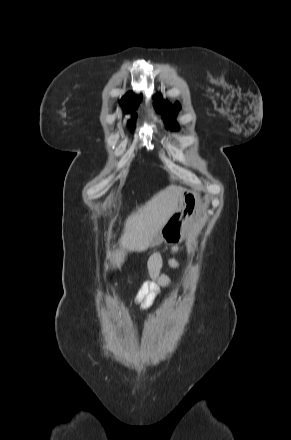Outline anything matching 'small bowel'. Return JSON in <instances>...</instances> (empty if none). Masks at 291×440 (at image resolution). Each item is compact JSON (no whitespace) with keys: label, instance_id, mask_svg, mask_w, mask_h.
Returning a JSON list of instances; mask_svg holds the SVG:
<instances>
[{"label":"small bowel","instance_id":"obj_1","mask_svg":"<svg viewBox=\"0 0 291 440\" xmlns=\"http://www.w3.org/2000/svg\"><path fill=\"white\" fill-rule=\"evenodd\" d=\"M177 251V250H176ZM162 265V256L156 252L152 254L148 261L150 276L158 281V284L146 282L138 290L134 297V303L138 304L141 309L145 310L151 307L157 299L161 287H169L174 285L171 278L166 275H160L159 270ZM172 267H179L181 262L177 259H171Z\"/></svg>","mask_w":291,"mask_h":440}]
</instances>
